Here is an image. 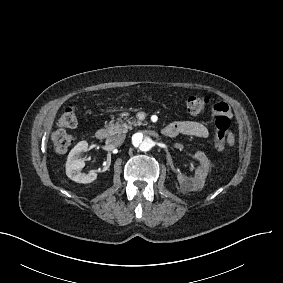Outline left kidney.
Masks as SVG:
<instances>
[{
    "label": "left kidney",
    "instance_id": "left-kidney-1",
    "mask_svg": "<svg viewBox=\"0 0 283 283\" xmlns=\"http://www.w3.org/2000/svg\"><path fill=\"white\" fill-rule=\"evenodd\" d=\"M193 157L199 161V168L196 169L195 176L193 178H186L181 172L177 174L180 189L184 193L202 188L209 171L210 162L204 152L197 151Z\"/></svg>",
    "mask_w": 283,
    "mask_h": 283
}]
</instances>
